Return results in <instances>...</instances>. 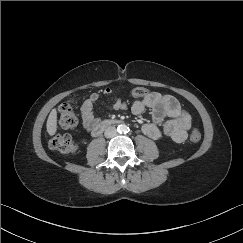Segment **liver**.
I'll list each match as a JSON object with an SVG mask.
<instances>
[{"instance_id": "6515ba94", "label": "liver", "mask_w": 243, "mask_h": 243, "mask_svg": "<svg viewBox=\"0 0 243 243\" xmlns=\"http://www.w3.org/2000/svg\"><path fill=\"white\" fill-rule=\"evenodd\" d=\"M57 111L56 109H52L50 112L48 119H47V124H46V129L47 132L50 136L55 135L57 132Z\"/></svg>"}]
</instances>
